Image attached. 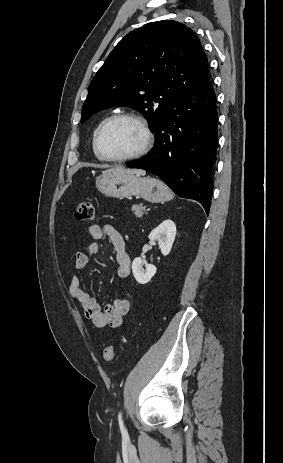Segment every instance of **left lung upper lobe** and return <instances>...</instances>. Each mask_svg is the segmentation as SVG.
<instances>
[{
  "label": "left lung upper lobe",
  "instance_id": "obj_1",
  "mask_svg": "<svg viewBox=\"0 0 283 463\" xmlns=\"http://www.w3.org/2000/svg\"><path fill=\"white\" fill-rule=\"evenodd\" d=\"M208 77L207 57L189 27L169 20L149 23L127 34L97 71L81 123L102 109L126 105L145 115L155 131Z\"/></svg>",
  "mask_w": 283,
  "mask_h": 463
}]
</instances>
